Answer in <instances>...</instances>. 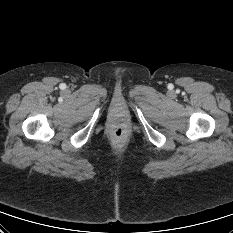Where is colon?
I'll list each match as a JSON object with an SVG mask.
<instances>
[{
    "mask_svg": "<svg viewBox=\"0 0 233 233\" xmlns=\"http://www.w3.org/2000/svg\"><path fill=\"white\" fill-rule=\"evenodd\" d=\"M124 130L122 126H117L114 130V133L116 136H121L123 134Z\"/></svg>",
    "mask_w": 233,
    "mask_h": 233,
    "instance_id": "1",
    "label": "colon"
}]
</instances>
